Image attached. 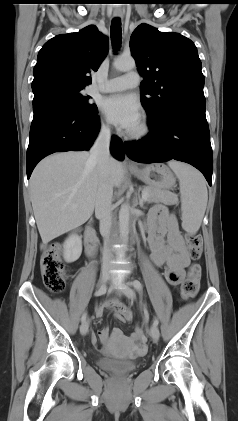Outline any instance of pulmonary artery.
<instances>
[{
    "label": "pulmonary artery",
    "mask_w": 238,
    "mask_h": 421,
    "mask_svg": "<svg viewBox=\"0 0 238 421\" xmlns=\"http://www.w3.org/2000/svg\"><path fill=\"white\" fill-rule=\"evenodd\" d=\"M139 74L137 72H128L123 76L106 80L98 90L102 92H117L129 88H134L139 84Z\"/></svg>",
    "instance_id": "e3ab8cb5"
}]
</instances>
